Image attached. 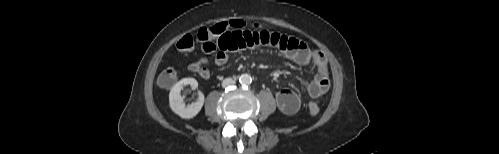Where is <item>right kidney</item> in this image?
Wrapping results in <instances>:
<instances>
[{"label": "right kidney", "mask_w": 499, "mask_h": 154, "mask_svg": "<svg viewBox=\"0 0 499 154\" xmlns=\"http://www.w3.org/2000/svg\"><path fill=\"white\" fill-rule=\"evenodd\" d=\"M187 85H190L194 90L198 87V82L194 78H183L177 82L169 93V104L174 113L184 119L195 117L203 107L204 95L199 92L195 102L186 106L181 96V90Z\"/></svg>", "instance_id": "obj_1"}]
</instances>
